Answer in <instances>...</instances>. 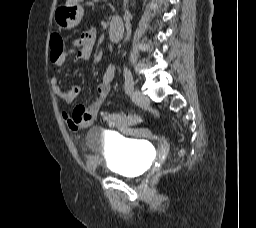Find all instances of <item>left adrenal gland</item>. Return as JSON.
<instances>
[{"instance_id": "a2214340", "label": "left adrenal gland", "mask_w": 256, "mask_h": 228, "mask_svg": "<svg viewBox=\"0 0 256 228\" xmlns=\"http://www.w3.org/2000/svg\"><path fill=\"white\" fill-rule=\"evenodd\" d=\"M127 3H128V0H124V9H126Z\"/></svg>"}]
</instances>
